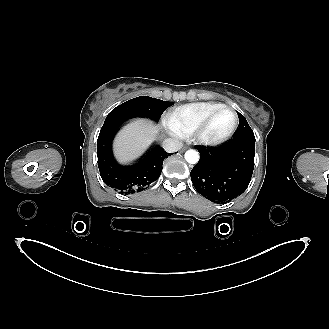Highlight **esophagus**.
<instances>
[{"mask_svg":"<svg viewBox=\"0 0 329 329\" xmlns=\"http://www.w3.org/2000/svg\"><path fill=\"white\" fill-rule=\"evenodd\" d=\"M186 149H187V147H183V148H182V151H185Z\"/></svg>","mask_w":329,"mask_h":329,"instance_id":"obj_1","label":"esophagus"}]
</instances>
